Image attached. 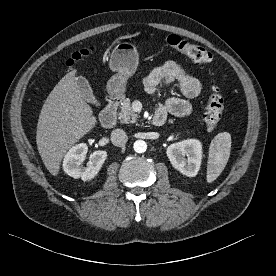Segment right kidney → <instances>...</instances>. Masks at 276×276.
<instances>
[{
    "label": "right kidney",
    "instance_id": "right-kidney-1",
    "mask_svg": "<svg viewBox=\"0 0 276 276\" xmlns=\"http://www.w3.org/2000/svg\"><path fill=\"white\" fill-rule=\"evenodd\" d=\"M88 151L85 143L73 146L65 155L63 170L73 178H81L83 181L92 180L100 171L107 158V152L103 150L94 151L86 167L82 165Z\"/></svg>",
    "mask_w": 276,
    "mask_h": 276
}]
</instances>
